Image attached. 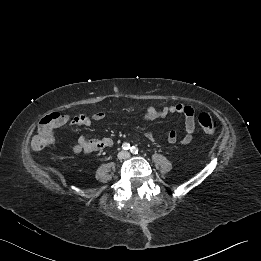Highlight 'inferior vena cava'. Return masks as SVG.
<instances>
[{
  "label": "inferior vena cava",
  "mask_w": 261,
  "mask_h": 261,
  "mask_svg": "<svg viewBox=\"0 0 261 261\" xmlns=\"http://www.w3.org/2000/svg\"><path fill=\"white\" fill-rule=\"evenodd\" d=\"M125 156H121L120 153L118 154V158H124Z\"/></svg>",
  "instance_id": "obj_1"
}]
</instances>
